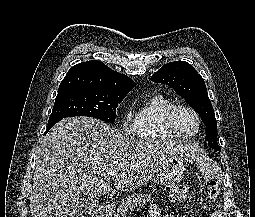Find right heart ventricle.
I'll list each match as a JSON object with an SVG mask.
<instances>
[{
    "label": "right heart ventricle",
    "instance_id": "1",
    "mask_svg": "<svg viewBox=\"0 0 255 217\" xmlns=\"http://www.w3.org/2000/svg\"><path fill=\"white\" fill-rule=\"evenodd\" d=\"M175 103L161 93L147 97L136 109L133 133L143 140H175L177 137L167 126L166 114Z\"/></svg>",
    "mask_w": 255,
    "mask_h": 217
}]
</instances>
